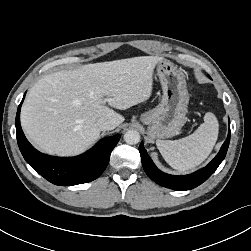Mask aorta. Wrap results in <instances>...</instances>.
<instances>
[{"label": "aorta", "instance_id": "aorta-1", "mask_svg": "<svg viewBox=\"0 0 251 251\" xmlns=\"http://www.w3.org/2000/svg\"><path fill=\"white\" fill-rule=\"evenodd\" d=\"M124 141L127 144L134 145L137 144L140 141V134L136 130H128L124 134Z\"/></svg>", "mask_w": 251, "mask_h": 251}]
</instances>
